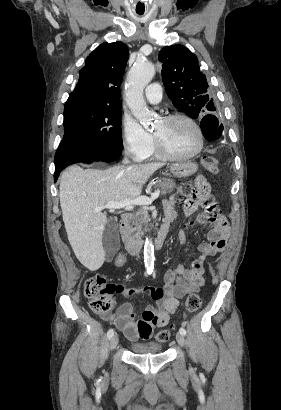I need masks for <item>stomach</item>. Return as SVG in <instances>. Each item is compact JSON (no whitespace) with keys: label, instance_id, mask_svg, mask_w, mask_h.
<instances>
[{"label":"stomach","instance_id":"1","mask_svg":"<svg viewBox=\"0 0 281 410\" xmlns=\"http://www.w3.org/2000/svg\"><path fill=\"white\" fill-rule=\"evenodd\" d=\"M198 169L196 163L185 161L170 166L171 173L178 178H184L193 175Z\"/></svg>","mask_w":281,"mask_h":410}]
</instances>
